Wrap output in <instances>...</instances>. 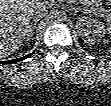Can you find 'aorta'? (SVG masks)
Masks as SVG:
<instances>
[{
  "label": "aorta",
  "mask_w": 111,
  "mask_h": 106,
  "mask_svg": "<svg viewBox=\"0 0 111 106\" xmlns=\"http://www.w3.org/2000/svg\"><path fill=\"white\" fill-rule=\"evenodd\" d=\"M58 18H59L60 20L66 19V13H65L64 11H60V12L58 13Z\"/></svg>",
  "instance_id": "obj_1"
}]
</instances>
